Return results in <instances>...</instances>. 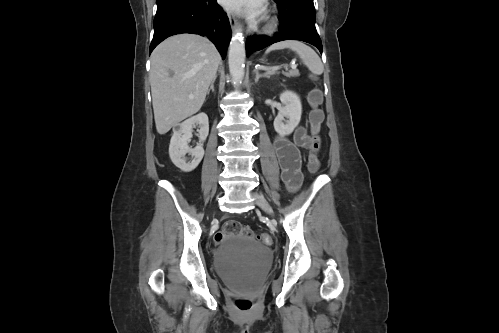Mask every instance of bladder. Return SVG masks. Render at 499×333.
<instances>
[{
	"label": "bladder",
	"instance_id": "31cf9c89",
	"mask_svg": "<svg viewBox=\"0 0 499 333\" xmlns=\"http://www.w3.org/2000/svg\"><path fill=\"white\" fill-rule=\"evenodd\" d=\"M272 249L253 238L229 236L214 253V266L230 286L247 292L266 276L272 262Z\"/></svg>",
	"mask_w": 499,
	"mask_h": 333
}]
</instances>
